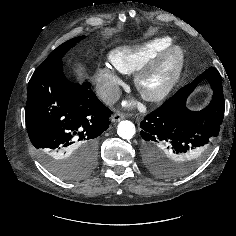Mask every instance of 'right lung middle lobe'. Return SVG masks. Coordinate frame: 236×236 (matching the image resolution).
Wrapping results in <instances>:
<instances>
[{"mask_svg":"<svg viewBox=\"0 0 236 236\" xmlns=\"http://www.w3.org/2000/svg\"><path fill=\"white\" fill-rule=\"evenodd\" d=\"M83 38L84 36H81L66 41L56 48L39 67L62 63L61 59L64 54ZM42 158L45 166L53 174L67 180H76L86 176L96 163L92 159L75 161L72 158L65 159L53 155H43Z\"/></svg>","mask_w":236,"mask_h":236,"instance_id":"dd1d6c3e","label":"right lung middle lobe"}]
</instances>
